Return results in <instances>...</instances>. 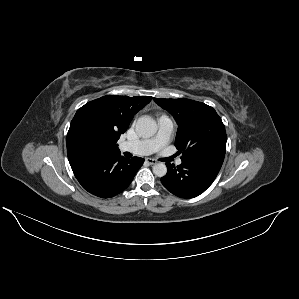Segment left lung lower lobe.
I'll use <instances>...</instances> for the list:
<instances>
[{"mask_svg": "<svg viewBox=\"0 0 299 299\" xmlns=\"http://www.w3.org/2000/svg\"><path fill=\"white\" fill-rule=\"evenodd\" d=\"M223 154L204 153L181 158L177 167L166 163L167 174L161 178L163 186L181 198H194L214 181L224 160Z\"/></svg>", "mask_w": 299, "mask_h": 299, "instance_id": "1", "label": "left lung lower lobe"}]
</instances>
